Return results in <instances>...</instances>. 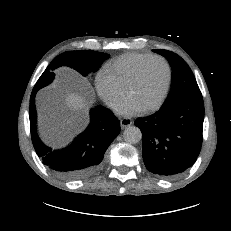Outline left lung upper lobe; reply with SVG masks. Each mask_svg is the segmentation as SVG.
<instances>
[{
  "label": "left lung upper lobe",
  "mask_w": 231,
  "mask_h": 231,
  "mask_svg": "<svg viewBox=\"0 0 231 231\" xmlns=\"http://www.w3.org/2000/svg\"><path fill=\"white\" fill-rule=\"evenodd\" d=\"M153 51L164 56L172 68L171 89L161 108L168 107L185 96L201 94L192 70L179 55L168 50Z\"/></svg>",
  "instance_id": "5c2ea615"
}]
</instances>
